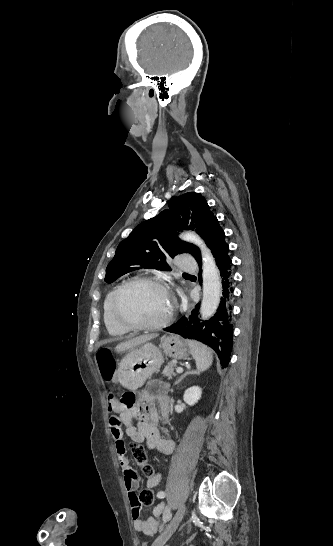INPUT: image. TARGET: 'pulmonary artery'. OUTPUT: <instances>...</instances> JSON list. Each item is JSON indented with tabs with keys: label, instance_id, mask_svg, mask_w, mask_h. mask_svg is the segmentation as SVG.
Instances as JSON below:
<instances>
[{
	"label": "pulmonary artery",
	"instance_id": "e3ab8cb5",
	"mask_svg": "<svg viewBox=\"0 0 333 546\" xmlns=\"http://www.w3.org/2000/svg\"><path fill=\"white\" fill-rule=\"evenodd\" d=\"M178 265L181 270L189 271L194 269L195 262L190 256L182 255L178 260Z\"/></svg>",
	"mask_w": 333,
	"mask_h": 546
}]
</instances>
